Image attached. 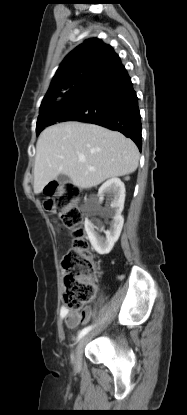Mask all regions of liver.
Here are the masks:
<instances>
[{
	"instance_id": "6515ba94",
	"label": "liver",
	"mask_w": 187,
	"mask_h": 415,
	"mask_svg": "<svg viewBox=\"0 0 187 415\" xmlns=\"http://www.w3.org/2000/svg\"><path fill=\"white\" fill-rule=\"evenodd\" d=\"M138 161L135 143L117 131L76 121L58 123L44 129L38 138L34 193H41L59 174L79 188H92L106 179L133 173Z\"/></svg>"
}]
</instances>
